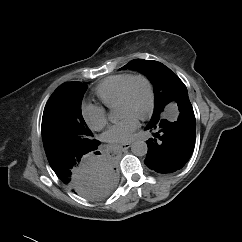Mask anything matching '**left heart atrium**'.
<instances>
[{
	"instance_id": "left-heart-atrium-1",
	"label": "left heart atrium",
	"mask_w": 242,
	"mask_h": 242,
	"mask_svg": "<svg viewBox=\"0 0 242 242\" xmlns=\"http://www.w3.org/2000/svg\"><path fill=\"white\" fill-rule=\"evenodd\" d=\"M139 123L136 116L125 114L115 124L111 125L105 133V139L113 144L126 143L131 140Z\"/></svg>"
}]
</instances>
